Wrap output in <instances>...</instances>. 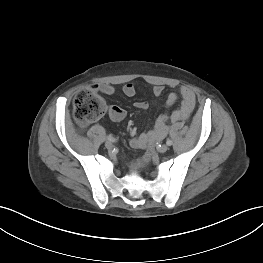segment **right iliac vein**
<instances>
[{
  "label": "right iliac vein",
  "mask_w": 263,
  "mask_h": 263,
  "mask_svg": "<svg viewBox=\"0 0 263 263\" xmlns=\"http://www.w3.org/2000/svg\"><path fill=\"white\" fill-rule=\"evenodd\" d=\"M105 147H106L108 150H111V149L113 148L112 142L106 141V142H105Z\"/></svg>",
  "instance_id": "1"
}]
</instances>
